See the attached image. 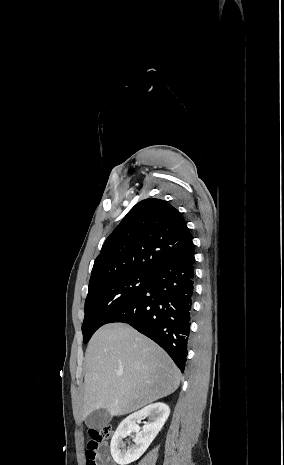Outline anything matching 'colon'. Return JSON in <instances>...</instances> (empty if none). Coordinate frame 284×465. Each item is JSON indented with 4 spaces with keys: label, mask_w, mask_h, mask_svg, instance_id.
I'll return each instance as SVG.
<instances>
[{
    "label": "colon",
    "mask_w": 284,
    "mask_h": 465,
    "mask_svg": "<svg viewBox=\"0 0 284 465\" xmlns=\"http://www.w3.org/2000/svg\"><path fill=\"white\" fill-rule=\"evenodd\" d=\"M113 434V430L109 425H93L88 429L84 439V449L86 453V465H96L93 451L100 444L109 440Z\"/></svg>",
    "instance_id": "obj_1"
}]
</instances>
